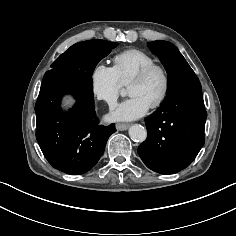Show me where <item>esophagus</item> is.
<instances>
[{
  "label": "esophagus",
  "mask_w": 236,
  "mask_h": 236,
  "mask_svg": "<svg viewBox=\"0 0 236 236\" xmlns=\"http://www.w3.org/2000/svg\"><path fill=\"white\" fill-rule=\"evenodd\" d=\"M129 127V124H125V123H117L116 124V129L118 131H124V130H127Z\"/></svg>",
  "instance_id": "1"
}]
</instances>
